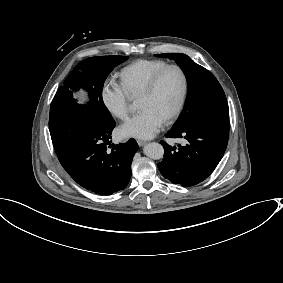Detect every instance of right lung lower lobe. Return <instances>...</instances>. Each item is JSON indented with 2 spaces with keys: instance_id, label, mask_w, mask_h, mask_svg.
I'll use <instances>...</instances> for the list:
<instances>
[{
  "instance_id": "right-lung-lower-lobe-1",
  "label": "right lung lower lobe",
  "mask_w": 283,
  "mask_h": 283,
  "mask_svg": "<svg viewBox=\"0 0 283 283\" xmlns=\"http://www.w3.org/2000/svg\"><path fill=\"white\" fill-rule=\"evenodd\" d=\"M114 127L113 120L86 132L74 148L58 157L79 185L100 195H111L128 185L132 159L138 150L134 139L108 146Z\"/></svg>"
}]
</instances>
